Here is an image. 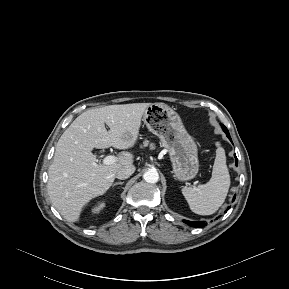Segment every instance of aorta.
Returning a JSON list of instances; mask_svg holds the SVG:
<instances>
[{"instance_id": "762f6f07", "label": "aorta", "mask_w": 289, "mask_h": 289, "mask_svg": "<svg viewBox=\"0 0 289 289\" xmlns=\"http://www.w3.org/2000/svg\"><path fill=\"white\" fill-rule=\"evenodd\" d=\"M143 178L148 183H156L159 180V174L156 170H148L144 173Z\"/></svg>"}]
</instances>
